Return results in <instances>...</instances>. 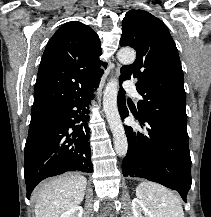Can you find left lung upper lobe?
<instances>
[{
    "label": "left lung upper lobe",
    "mask_w": 211,
    "mask_h": 217,
    "mask_svg": "<svg viewBox=\"0 0 211 217\" xmlns=\"http://www.w3.org/2000/svg\"><path fill=\"white\" fill-rule=\"evenodd\" d=\"M121 46L137 52L131 65L121 68L119 80L136 78L143 100L140 116L164 119L186 128V93L178 50L166 25L144 10H130L122 21Z\"/></svg>",
    "instance_id": "left-lung-upper-lobe-1"
}]
</instances>
